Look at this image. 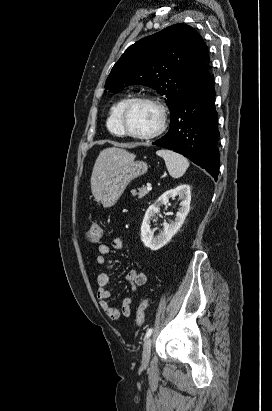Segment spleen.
<instances>
[{
	"label": "spleen",
	"mask_w": 272,
	"mask_h": 411,
	"mask_svg": "<svg viewBox=\"0 0 272 411\" xmlns=\"http://www.w3.org/2000/svg\"><path fill=\"white\" fill-rule=\"evenodd\" d=\"M156 154L164 159L167 170L173 178L182 177L189 167L187 158L176 152L161 149Z\"/></svg>",
	"instance_id": "3e777b00"
}]
</instances>
